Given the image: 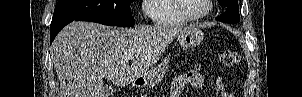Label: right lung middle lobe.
Returning a JSON list of instances; mask_svg holds the SVG:
<instances>
[{
    "label": "right lung middle lobe",
    "mask_w": 302,
    "mask_h": 97,
    "mask_svg": "<svg viewBox=\"0 0 302 97\" xmlns=\"http://www.w3.org/2000/svg\"><path fill=\"white\" fill-rule=\"evenodd\" d=\"M133 0H58L50 26L66 21H93L114 26L135 24L130 4Z\"/></svg>",
    "instance_id": "obj_1"
}]
</instances>
